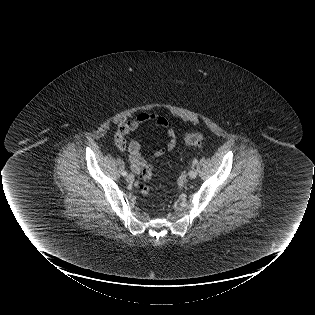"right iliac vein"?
<instances>
[{
	"mask_svg": "<svg viewBox=\"0 0 315 315\" xmlns=\"http://www.w3.org/2000/svg\"><path fill=\"white\" fill-rule=\"evenodd\" d=\"M126 180H127L128 183H133V182H134V176H133V174H128V175L126 176Z\"/></svg>",
	"mask_w": 315,
	"mask_h": 315,
	"instance_id": "obj_1",
	"label": "right iliac vein"
}]
</instances>
